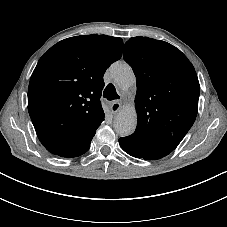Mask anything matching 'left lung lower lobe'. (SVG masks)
I'll use <instances>...</instances> for the list:
<instances>
[{
    "label": "left lung lower lobe",
    "mask_w": 227,
    "mask_h": 227,
    "mask_svg": "<svg viewBox=\"0 0 227 227\" xmlns=\"http://www.w3.org/2000/svg\"><path fill=\"white\" fill-rule=\"evenodd\" d=\"M119 143L125 152L136 158L156 160L169 154L132 136L120 138Z\"/></svg>",
    "instance_id": "1"
}]
</instances>
